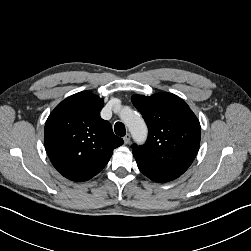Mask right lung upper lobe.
<instances>
[{
    "label": "right lung upper lobe",
    "instance_id": "obj_1",
    "mask_svg": "<svg viewBox=\"0 0 251 251\" xmlns=\"http://www.w3.org/2000/svg\"><path fill=\"white\" fill-rule=\"evenodd\" d=\"M104 101L88 91L76 93L49 115L44 130L47 154L57 171L73 181H87L108 163L124 141L100 116Z\"/></svg>",
    "mask_w": 251,
    "mask_h": 251
}]
</instances>
